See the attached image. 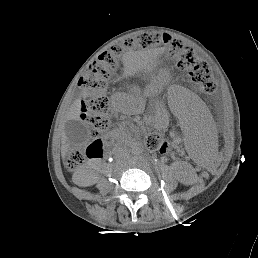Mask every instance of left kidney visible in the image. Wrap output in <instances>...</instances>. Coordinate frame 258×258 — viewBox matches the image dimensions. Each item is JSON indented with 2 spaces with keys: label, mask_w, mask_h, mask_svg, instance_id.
Wrapping results in <instances>:
<instances>
[{
  "label": "left kidney",
  "mask_w": 258,
  "mask_h": 258,
  "mask_svg": "<svg viewBox=\"0 0 258 258\" xmlns=\"http://www.w3.org/2000/svg\"><path fill=\"white\" fill-rule=\"evenodd\" d=\"M184 183H187V179L186 178H182Z\"/></svg>",
  "instance_id": "1"
}]
</instances>
